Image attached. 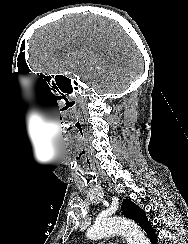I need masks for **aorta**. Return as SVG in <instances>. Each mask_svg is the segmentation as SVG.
Listing matches in <instances>:
<instances>
[{
    "mask_svg": "<svg viewBox=\"0 0 188 244\" xmlns=\"http://www.w3.org/2000/svg\"><path fill=\"white\" fill-rule=\"evenodd\" d=\"M118 234L124 235L128 244H149L138 226L131 220L122 217H111L95 223L86 233L90 239H100Z\"/></svg>",
    "mask_w": 188,
    "mask_h": 244,
    "instance_id": "1",
    "label": "aorta"
}]
</instances>
